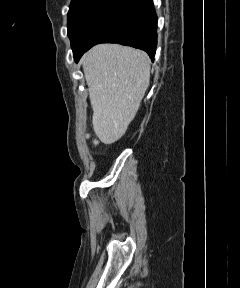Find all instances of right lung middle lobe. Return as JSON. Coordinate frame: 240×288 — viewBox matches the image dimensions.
<instances>
[{"instance_id":"right-lung-middle-lobe-1","label":"right lung middle lobe","mask_w":240,"mask_h":288,"mask_svg":"<svg viewBox=\"0 0 240 288\" xmlns=\"http://www.w3.org/2000/svg\"><path fill=\"white\" fill-rule=\"evenodd\" d=\"M119 0H72L68 12L71 46L81 44L96 24Z\"/></svg>"}]
</instances>
